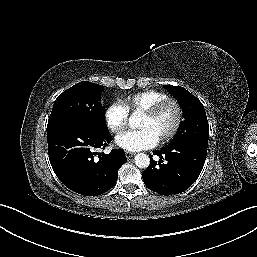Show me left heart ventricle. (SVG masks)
<instances>
[{
	"label": "left heart ventricle",
	"instance_id": "b2bd125f",
	"mask_svg": "<svg viewBox=\"0 0 257 257\" xmlns=\"http://www.w3.org/2000/svg\"><path fill=\"white\" fill-rule=\"evenodd\" d=\"M175 109L173 106L166 107L156 118L142 115L139 128L150 130L158 139L168 133L175 122Z\"/></svg>",
	"mask_w": 257,
	"mask_h": 257
}]
</instances>
